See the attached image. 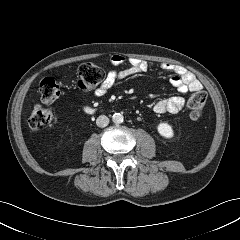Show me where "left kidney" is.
Instances as JSON below:
<instances>
[{"mask_svg":"<svg viewBox=\"0 0 240 240\" xmlns=\"http://www.w3.org/2000/svg\"><path fill=\"white\" fill-rule=\"evenodd\" d=\"M157 130L161 136L164 138L170 139L174 136L173 129L168 123H160L157 126Z\"/></svg>","mask_w":240,"mask_h":240,"instance_id":"obj_1","label":"left kidney"}]
</instances>
